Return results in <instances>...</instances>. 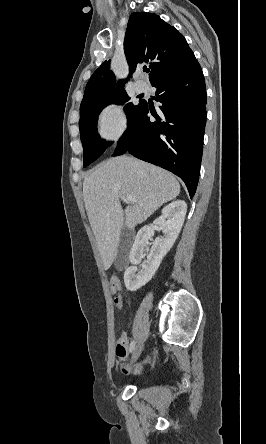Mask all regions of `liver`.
<instances>
[{
    "label": "liver",
    "mask_w": 266,
    "mask_h": 444,
    "mask_svg": "<svg viewBox=\"0 0 266 444\" xmlns=\"http://www.w3.org/2000/svg\"><path fill=\"white\" fill-rule=\"evenodd\" d=\"M180 185L169 172L128 156L99 164L83 182V199L105 270L117 254L123 226L133 229L175 199ZM136 202L123 210L120 199Z\"/></svg>",
    "instance_id": "obj_1"
}]
</instances>
